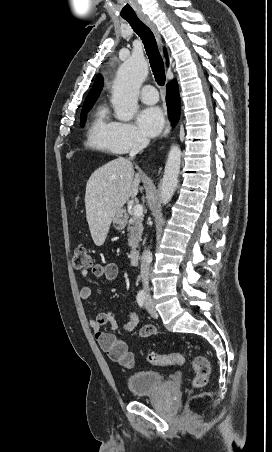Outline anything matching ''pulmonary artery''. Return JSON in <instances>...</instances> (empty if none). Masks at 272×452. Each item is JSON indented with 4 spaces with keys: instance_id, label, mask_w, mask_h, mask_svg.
I'll list each match as a JSON object with an SVG mask.
<instances>
[{
    "instance_id": "e3ab8cb5",
    "label": "pulmonary artery",
    "mask_w": 272,
    "mask_h": 452,
    "mask_svg": "<svg viewBox=\"0 0 272 452\" xmlns=\"http://www.w3.org/2000/svg\"><path fill=\"white\" fill-rule=\"evenodd\" d=\"M140 99L145 104H155L158 101V93L155 87L145 85L141 90Z\"/></svg>"
}]
</instances>
